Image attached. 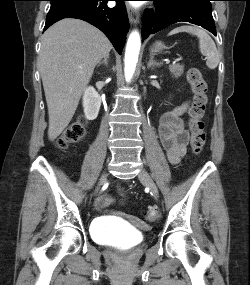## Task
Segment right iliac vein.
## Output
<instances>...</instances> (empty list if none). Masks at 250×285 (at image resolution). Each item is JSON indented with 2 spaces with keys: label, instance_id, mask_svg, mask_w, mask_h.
<instances>
[{
  "label": "right iliac vein",
  "instance_id": "right-iliac-vein-1",
  "mask_svg": "<svg viewBox=\"0 0 250 285\" xmlns=\"http://www.w3.org/2000/svg\"><path fill=\"white\" fill-rule=\"evenodd\" d=\"M106 178H107V174L103 173L102 176L100 177L96 192L99 190L100 186L106 181Z\"/></svg>",
  "mask_w": 250,
  "mask_h": 285
}]
</instances>
